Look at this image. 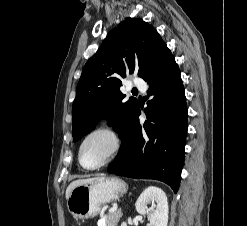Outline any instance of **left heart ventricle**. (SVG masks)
Segmentation results:
<instances>
[{"label":"left heart ventricle","instance_id":"left-heart-ventricle-1","mask_svg":"<svg viewBox=\"0 0 247 226\" xmlns=\"http://www.w3.org/2000/svg\"><path fill=\"white\" fill-rule=\"evenodd\" d=\"M112 148V140L105 134H96L89 138L82 151V160L86 166H94L102 162Z\"/></svg>","mask_w":247,"mask_h":226}]
</instances>
